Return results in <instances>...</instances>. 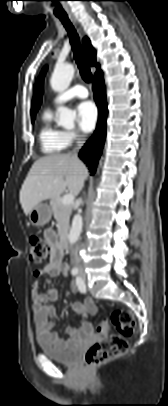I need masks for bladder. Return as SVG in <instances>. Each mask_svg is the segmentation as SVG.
I'll return each instance as SVG.
<instances>
[{
	"label": "bladder",
	"instance_id": "31cf9c89",
	"mask_svg": "<svg viewBox=\"0 0 168 406\" xmlns=\"http://www.w3.org/2000/svg\"><path fill=\"white\" fill-rule=\"evenodd\" d=\"M37 342L45 355L62 364L71 365L76 363L82 351L80 345L58 347L40 335L37 336Z\"/></svg>",
	"mask_w": 168,
	"mask_h": 406
}]
</instances>
